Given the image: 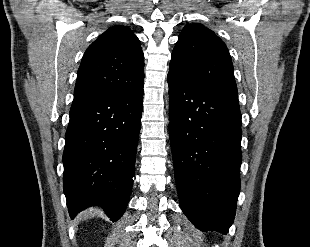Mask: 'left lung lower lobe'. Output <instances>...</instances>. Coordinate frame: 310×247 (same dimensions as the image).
I'll use <instances>...</instances> for the list:
<instances>
[{
	"instance_id": "left-lung-lower-lobe-1",
	"label": "left lung lower lobe",
	"mask_w": 310,
	"mask_h": 247,
	"mask_svg": "<svg viewBox=\"0 0 310 247\" xmlns=\"http://www.w3.org/2000/svg\"><path fill=\"white\" fill-rule=\"evenodd\" d=\"M170 143L180 206L201 231L226 234L240 190L237 96L167 76Z\"/></svg>"
}]
</instances>
